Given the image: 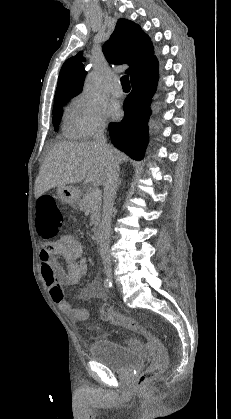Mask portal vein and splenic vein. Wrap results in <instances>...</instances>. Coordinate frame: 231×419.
<instances>
[{
  "label": "portal vein and splenic vein",
  "mask_w": 231,
  "mask_h": 419,
  "mask_svg": "<svg viewBox=\"0 0 231 419\" xmlns=\"http://www.w3.org/2000/svg\"><path fill=\"white\" fill-rule=\"evenodd\" d=\"M90 199H98L101 198V191L98 188L93 189L90 194Z\"/></svg>",
  "instance_id": "18ae733b"
}]
</instances>
